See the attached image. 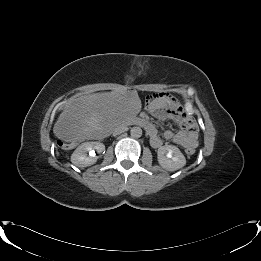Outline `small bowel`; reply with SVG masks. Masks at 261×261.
Returning a JSON list of instances; mask_svg holds the SVG:
<instances>
[{
	"mask_svg": "<svg viewBox=\"0 0 261 261\" xmlns=\"http://www.w3.org/2000/svg\"><path fill=\"white\" fill-rule=\"evenodd\" d=\"M149 113L155 119L164 121L168 118L176 121L181 130L173 132L172 130H165L163 137L166 140L183 147L195 148L198 143V126L192 119L191 115L182 107L177 98L169 93L157 94L156 99L149 106ZM150 136L151 144L155 147L161 145L162 141L158 136L155 126L149 122L145 126Z\"/></svg>",
	"mask_w": 261,
	"mask_h": 261,
	"instance_id": "obj_1",
	"label": "small bowel"
}]
</instances>
